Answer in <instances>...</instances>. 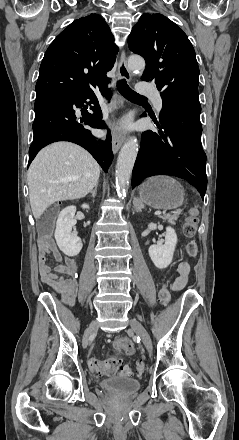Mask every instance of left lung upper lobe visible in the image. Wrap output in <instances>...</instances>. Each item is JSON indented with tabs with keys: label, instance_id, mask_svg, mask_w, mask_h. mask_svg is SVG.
Listing matches in <instances>:
<instances>
[{
	"label": "left lung upper lobe",
	"instance_id": "1",
	"mask_svg": "<svg viewBox=\"0 0 239 440\" xmlns=\"http://www.w3.org/2000/svg\"><path fill=\"white\" fill-rule=\"evenodd\" d=\"M130 50L144 57V81L155 80L161 97L177 93L198 95L199 67L186 34L162 14H143L128 37Z\"/></svg>",
	"mask_w": 239,
	"mask_h": 440
}]
</instances>
